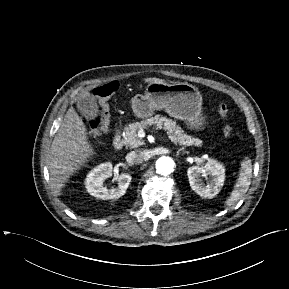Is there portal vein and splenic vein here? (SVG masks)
I'll return each mask as SVG.
<instances>
[{"mask_svg":"<svg viewBox=\"0 0 289 289\" xmlns=\"http://www.w3.org/2000/svg\"><path fill=\"white\" fill-rule=\"evenodd\" d=\"M139 137H144L145 136V132L143 130H140L138 132Z\"/></svg>","mask_w":289,"mask_h":289,"instance_id":"1","label":"portal vein and splenic vein"}]
</instances>
